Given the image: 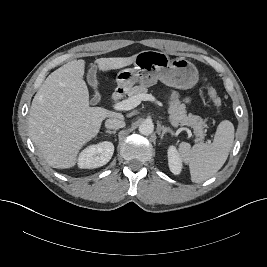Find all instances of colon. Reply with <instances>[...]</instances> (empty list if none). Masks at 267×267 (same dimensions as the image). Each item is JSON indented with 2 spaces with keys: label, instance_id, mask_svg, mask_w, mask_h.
Segmentation results:
<instances>
[{
  "label": "colon",
  "instance_id": "5ec220e1",
  "mask_svg": "<svg viewBox=\"0 0 267 267\" xmlns=\"http://www.w3.org/2000/svg\"><path fill=\"white\" fill-rule=\"evenodd\" d=\"M208 94L214 105L219 107L221 105V98L219 97L217 91L213 87H209Z\"/></svg>",
  "mask_w": 267,
  "mask_h": 267
}]
</instances>
